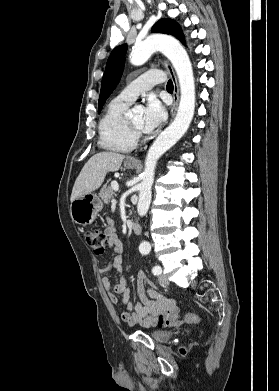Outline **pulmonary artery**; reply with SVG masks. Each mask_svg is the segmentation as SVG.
<instances>
[{"instance_id": "1", "label": "pulmonary artery", "mask_w": 279, "mask_h": 391, "mask_svg": "<svg viewBox=\"0 0 279 391\" xmlns=\"http://www.w3.org/2000/svg\"><path fill=\"white\" fill-rule=\"evenodd\" d=\"M165 75L161 71H148L136 79H134L129 85H127L119 94V97L132 102L142 92L148 91L155 84L163 82Z\"/></svg>"}]
</instances>
